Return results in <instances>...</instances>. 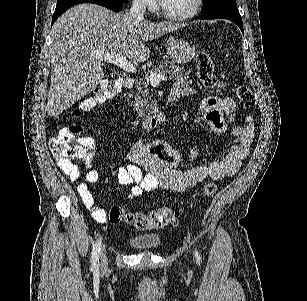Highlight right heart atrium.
Instances as JSON below:
<instances>
[{
  "instance_id": "obj_1",
  "label": "right heart atrium",
  "mask_w": 307,
  "mask_h": 301,
  "mask_svg": "<svg viewBox=\"0 0 307 301\" xmlns=\"http://www.w3.org/2000/svg\"><path fill=\"white\" fill-rule=\"evenodd\" d=\"M136 5L148 9V7H153V0H137Z\"/></svg>"
}]
</instances>
